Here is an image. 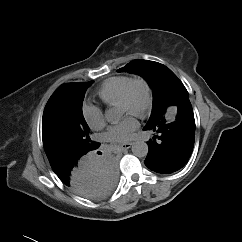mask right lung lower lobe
I'll use <instances>...</instances> for the list:
<instances>
[{
	"mask_svg": "<svg viewBox=\"0 0 242 242\" xmlns=\"http://www.w3.org/2000/svg\"><path fill=\"white\" fill-rule=\"evenodd\" d=\"M63 184L77 194L101 200L111 194L117 184L115 161L110 156L83 155L51 166Z\"/></svg>",
	"mask_w": 242,
	"mask_h": 242,
	"instance_id": "right-lung-lower-lobe-1",
	"label": "right lung lower lobe"
}]
</instances>
